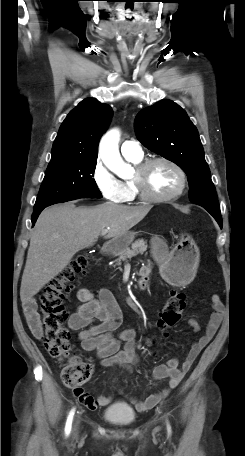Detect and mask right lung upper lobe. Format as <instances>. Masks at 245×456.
<instances>
[{
  "instance_id": "right-lung-upper-lobe-1",
  "label": "right lung upper lobe",
  "mask_w": 245,
  "mask_h": 456,
  "mask_svg": "<svg viewBox=\"0 0 245 456\" xmlns=\"http://www.w3.org/2000/svg\"><path fill=\"white\" fill-rule=\"evenodd\" d=\"M113 115L108 104L94 98L81 101L63 121L52 147L51 161L97 157L98 143Z\"/></svg>"
}]
</instances>
